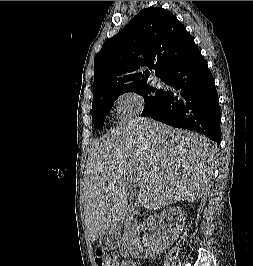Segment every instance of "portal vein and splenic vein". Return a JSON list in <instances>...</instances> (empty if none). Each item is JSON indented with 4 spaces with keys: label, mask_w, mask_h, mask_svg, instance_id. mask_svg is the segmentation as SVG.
<instances>
[{
    "label": "portal vein and splenic vein",
    "mask_w": 253,
    "mask_h": 266,
    "mask_svg": "<svg viewBox=\"0 0 253 266\" xmlns=\"http://www.w3.org/2000/svg\"><path fill=\"white\" fill-rule=\"evenodd\" d=\"M129 181H130L131 183H133L134 185H135V184H138L139 186H141V183H140L139 179L136 178V177H130V178H129Z\"/></svg>",
    "instance_id": "18ae733b"
}]
</instances>
